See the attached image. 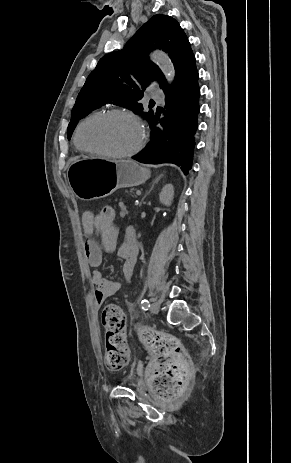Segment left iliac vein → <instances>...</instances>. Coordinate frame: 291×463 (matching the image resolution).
<instances>
[{
  "label": "left iliac vein",
  "instance_id": "obj_1",
  "mask_svg": "<svg viewBox=\"0 0 291 463\" xmlns=\"http://www.w3.org/2000/svg\"><path fill=\"white\" fill-rule=\"evenodd\" d=\"M150 310L154 314H158L160 310V304L158 302H153L151 304Z\"/></svg>",
  "mask_w": 291,
  "mask_h": 463
}]
</instances>
